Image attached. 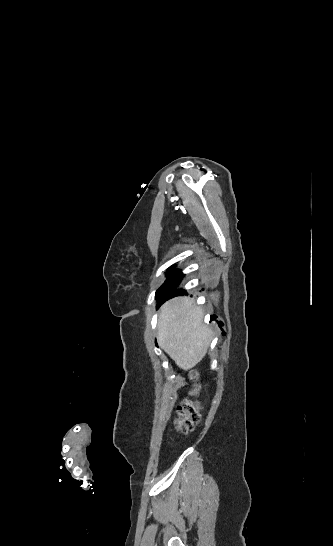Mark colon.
I'll list each match as a JSON object with an SVG mask.
<instances>
[{
  "instance_id": "5ec220e1",
  "label": "colon",
  "mask_w": 333,
  "mask_h": 546,
  "mask_svg": "<svg viewBox=\"0 0 333 546\" xmlns=\"http://www.w3.org/2000/svg\"><path fill=\"white\" fill-rule=\"evenodd\" d=\"M195 375L192 376L194 378ZM199 391L197 386L191 390L192 394H197ZM178 417L176 419V427L182 433L191 432L199 423L201 415L199 406L191 400H184L177 408Z\"/></svg>"
}]
</instances>
